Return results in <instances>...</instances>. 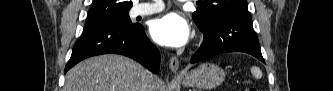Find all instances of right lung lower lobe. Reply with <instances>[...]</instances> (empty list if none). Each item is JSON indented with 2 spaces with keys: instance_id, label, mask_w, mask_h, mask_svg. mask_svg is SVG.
<instances>
[{
  "instance_id": "98d812e1",
  "label": "right lung lower lobe",
  "mask_w": 333,
  "mask_h": 91,
  "mask_svg": "<svg viewBox=\"0 0 333 91\" xmlns=\"http://www.w3.org/2000/svg\"><path fill=\"white\" fill-rule=\"evenodd\" d=\"M109 53L128 56L153 73L159 70V51L146 37L142 25L88 22L84 33L74 46L65 73L83 59Z\"/></svg>"
}]
</instances>
